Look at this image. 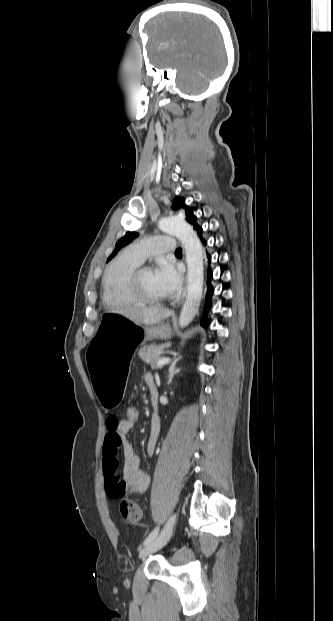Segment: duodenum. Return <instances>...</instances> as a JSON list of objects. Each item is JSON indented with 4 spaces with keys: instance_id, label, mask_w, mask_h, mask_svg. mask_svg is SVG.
<instances>
[{
    "instance_id": "1",
    "label": "duodenum",
    "mask_w": 333,
    "mask_h": 621,
    "mask_svg": "<svg viewBox=\"0 0 333 621\" xmlns=\"http://www.w3.org/2000/svg\"><path fill=\"white\" fill-rule=\"evenodd\" d=\"M150 393H151V398L153 401H155V397H156V388L154 384L150 385ZM152 422L153 424L156 426L159 423V417L156 413V411H154L153 415H152Z\"/></svg>"
}]
</instances>
